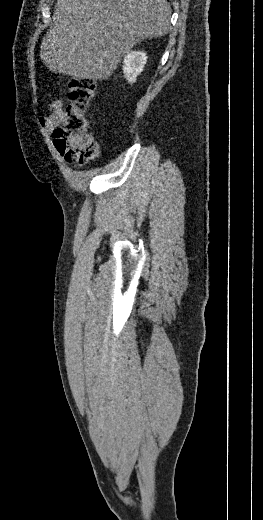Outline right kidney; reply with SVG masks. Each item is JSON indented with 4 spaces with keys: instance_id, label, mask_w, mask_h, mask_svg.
I'll return each instance as SVG.
<instances>
[{
    "instance_id": "obj_1",
    "label": "right kidney",
    "mask_w": 263,
    "mask_h": 520,
    "mask_svg": "<svg viewBox=\"0 0 263 520\" xmlns=\"http://www.w3.org/2000/svg\"><path fill=\"white\" fill-rule=\"evenodd\" d=\"M146 62V53L142 51H131L124 56L123 73L129 83L136 81V77L143 71Z\"/></svg>"
}]
</instances>
